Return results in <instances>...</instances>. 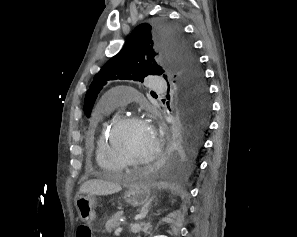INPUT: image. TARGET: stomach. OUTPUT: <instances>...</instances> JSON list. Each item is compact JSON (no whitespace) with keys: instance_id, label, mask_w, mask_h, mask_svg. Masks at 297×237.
<instances>
[{"instance_id":"0dacf381","label":"stomach","mask_w":297,"mask_h":237,"mask_svg":"<svg viewBox=\"0 0 297 237\" xmlns=\"http://www.w3.org/2000/svg\"><path fill=\"white\" fill-rule=\"evenodd\" d=\"M125 201L132 206H144L151 201V189L148 184L136 183L129 186L125 193ZM79 218L88 224L95 220V197L91 194L79 196L76 200Z\"/></svg>"}]
</instances>
